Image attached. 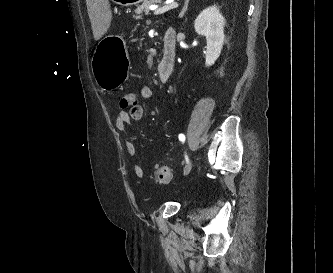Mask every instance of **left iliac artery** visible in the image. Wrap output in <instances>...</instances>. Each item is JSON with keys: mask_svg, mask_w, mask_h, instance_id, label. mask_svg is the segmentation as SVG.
Segmentation results:
<instances>
[{"mask_svg": "<svg viewBox=\"0 0 333 273\" xmlns=\"http://www.w3.org/2000/svg\"><path fill=\"white\" fill-rule=\"evenodd\" d=\"M179 140L182 142V143H184V141H185V135L184 134H179ZM185 159H186V162H188V156L187 155H185Z\"/></svg>", "mask_w": 333, "mask_h": 273, "instance_id": "44dca946", "label": "left iliac artery"}]
</instances>
